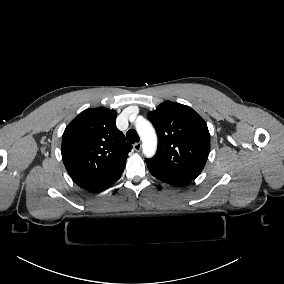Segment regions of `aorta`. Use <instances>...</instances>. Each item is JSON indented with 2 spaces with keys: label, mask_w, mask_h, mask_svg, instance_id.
Returning <instances> with one entry per match:
<instances>
[{
  "label": "aorta",
  "mask_w": 284,
  "mask_h": 284,
  "mask_svg": "<svg viewBox=\"0 0 284 284\" xmlns=\"http://www.w3.org/2000/svg\"><path fill=\"white\" fill-rule=\"evenodd\" d=\"M136 130L142 140L143 153L147 157H152L156 152L157 136L151 123L143 117H138L135 121Z\"/></svg>",
  "instance_id": "obj_1"
}]
</instances>
